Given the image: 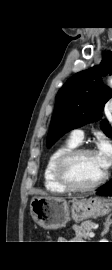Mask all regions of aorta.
Segmentation results:
<instances>
[{"mask_svg":"<svg viewBox=\"0 0 112 270\" xmlns=\"http://www.w3.org/2000/svg\"><path fill=\"white\" fill-rule=\"evenodd\" d=\"M110 84H111V86H112V78H111V80H110Z\"/></svg>","mask_w":112,"mask_h":270,"instance_id":"aorta-1","label":"aorta"}]
</instances>
